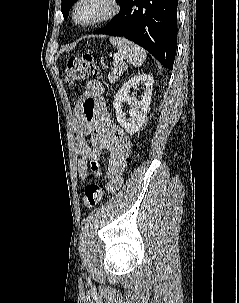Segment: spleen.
Here are the masks:
<instances>
[{
	"instance_id": "3e777b00",
	"label": "spleen",
	"mask_w": 239,
	"mask_h": 303,
	"mask_svg": "<svg viewBox=\"0 0 239 303\" xmlns=\"http://www.w3.org/2000/svg\"><path fill=\"white\" fill-rule=\"evenodd\" d=\"M110 43L116 47L121 56L133 66H140L146 59V51L132 41L121 37H111Z\"/></svg>"
}]
</instances>
